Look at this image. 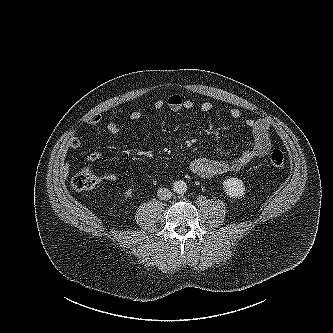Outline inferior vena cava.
Segmentation results:
<instances>
[{
    "instance_id": "inferior-vena-cava-1",
    "label": "inferior vena cava",
    "mask_w": 333,
    "mask_h": 333,
    "mask_svg": "<svg viewBox=\"0 0 333 333\" xmlns=\"http://www.w3.org/2000/svg\"><path fill=\"white\" fill-rule=\"evenodd\" d=\"M157 196L160 200H169L172 193L168 188H160L158 189Z\"/></svg>"
}]
</instances>
